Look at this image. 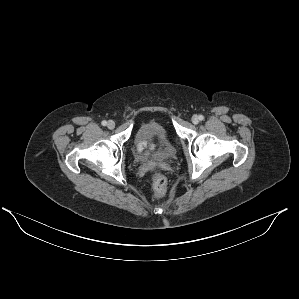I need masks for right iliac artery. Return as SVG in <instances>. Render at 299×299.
<instances>
[{"label": "right iliac artery", "mask_w": 299, "mask_h": 299, "mask_svg": "<svg viewBox=\"0 0 299 299\" xmlns=\"http://www.w3.org/2000/svg\"><path fill=\"white\" fill-rule=\"evenodd\" d=\"M101 124H102L103 126H106V125H107V121L103 120Z\"/></svg>", "instance_id": "1"}]
</instances>
